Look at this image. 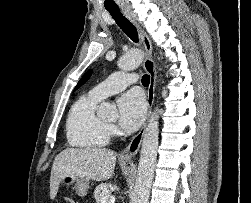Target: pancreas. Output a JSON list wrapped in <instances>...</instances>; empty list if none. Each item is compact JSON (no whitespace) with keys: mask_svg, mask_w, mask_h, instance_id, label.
Returning a JSON list of instances; mask_svg holds the SVG:
<instances>
[{"mask_svg":"<svg viewBox=\"0 0 251 203\" xmlns=\"http://www.w3.org/2000/svg\"><path fill=\"white\" fill-rule=\"evenodd\" d=\"M110 184L102 183L99 184L94 191V198L96 203H101V200L105 196H111Z\"/></svg>","mask_w":251,"mask_h":203,"instance_id":"cf45deb5","label":"pancreas"}]
</instances>
